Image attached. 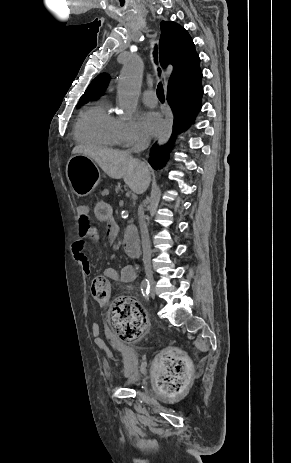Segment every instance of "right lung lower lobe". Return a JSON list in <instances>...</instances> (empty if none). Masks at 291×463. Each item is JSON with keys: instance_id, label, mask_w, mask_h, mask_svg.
<instances>
[{"instance_id": "obj_1", "label": "right lung lower lobe", "mask_w": 291, "mask_h": 463, "mask_svg": "<svg viewBox=\"0 0 291 463\" xmlns=\"http://www.w3.org/2000/svg\"><path fill=\"white\" fill-rule=\"evenodd\" d=\"M201 78L202 72L187 87L168 90L167 100L174 114L173 131L165 145L152 147L149 163L155 170L161 169L168 161L177 136L194 124V120L202 107L203 88Z\"/></svg>"}]
</instances>
